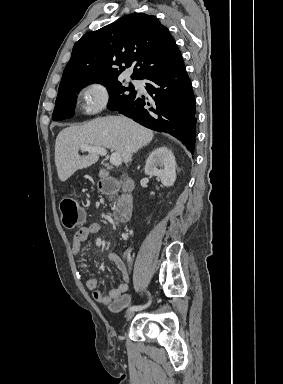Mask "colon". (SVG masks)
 <instances>
[{"label":"colon","mask_w":283,"mask_h":384,"mask_svg":"<svg viewBox=\"0 0 283 384\" xmlns=\"http://www.w3.org/2000/svg\"><path fill=\"white\" fill-rule=\"evenodd\" d=\"M99 187L107 194H111L116 191L115 183L110 180L100 182ZM60 211L62 224L68 230L74 229L84 221V213L81 210L77 200L72 196H67L62 199L60 203ZM129 303L130 296L128 294H124L110 304V309L114 312H119L126 308Z\"/></svg>","instance_id":"5ec220e1"}]
</instances>
